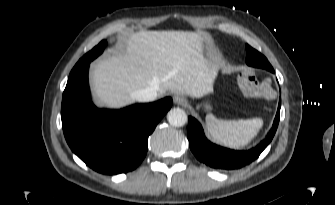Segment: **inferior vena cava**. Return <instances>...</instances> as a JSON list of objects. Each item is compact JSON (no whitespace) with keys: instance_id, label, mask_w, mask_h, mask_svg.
Instances as JSON below:
<instances>
[{"instance_id":"1","label":"inferior vena cava","mask_w":335,"mask_h":205,"mask_svg":"<svg viewBox=\"0 0 335 205\" xmlns=\"http://www.w3.org/2000/svg\"><path fill=\"white\" fill-rule=\"evenodd\" d=\"M157 96L158 92L153 87H147L133 93V97L140 102L153 101L157 98Z\"/></svg>"}]
</instances>
